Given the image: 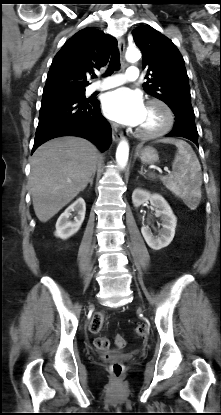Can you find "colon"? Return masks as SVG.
I'll return each instance as SVG.
<instances>
[{
    "mask_svg": "<svg viewBox=\"0 0 221 415\" xmlns=\"http://www.w3.org/2000/svg\"><path fill=\"white\" fill-rule=\"evenodd\" d=\"M172 192L174 193L175 191L173 190ZM104 319H105V314L103 312L95 313L92 316L90 324H89L90 331L93 333L100 332L103 326ZM135 333L139 337H145L148 333L147 325L144 323L138 324L135 328ZM114 342L116 346L119 348H122L126 345L125 338L122 335H116L114 338ZM109 345H110L109 340L105 337H98L95 340L96 348L101 351L107 350L109 348ZM109 369H110L112 376L115 379H120L124 371V366L120 361L112 360L110 363Z\"/></svg>",
    "mask_w": 221,
    "mask_h": 415,
    "instance_id": "obj_1",
    "label": "colon"
}]
</instances>
